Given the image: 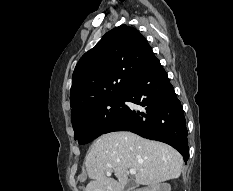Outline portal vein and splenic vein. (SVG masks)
I'll return each mask as SVG.
<instances>
[{"mask_svg":"<svg viewBox=\"0 0 233 191\" xmlns=\"http://www.w3.org/2000/svg\"><path fill=\"white\" fill-rule=\"evenodd\" d=\"M129 172H130V174H133V175L137 173V171L135 169H130ZM108 175H110V173Z\"/></svg>","mask_w":233,"mask_h":191,"instance_id":"portal-vein-and-splenic-vein-1","label":"portal vein and splenic vein"}]
</instances>
